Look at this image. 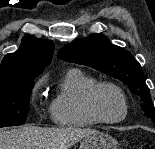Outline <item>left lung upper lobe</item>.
<instances>
[{
    "instance_id": "obj_1",
    "label": "left lung upper lobe",
    "mask_w": 155,
    "mask_h": 149,
    "mask_svg": "<svg viewBox=\"0 0 155 149\" xmlns=\"http://www.w3.org/2000/svg\"><path fill=\"white\" fill-rule=\"evenodd\" d=\"M57 56L68 62L90 66L121 80L141 99L143 115L155 122V107L139 62L127 50L113 45L101 33L76 39L61 48Z\"/></svg>"
}]
</instances>
